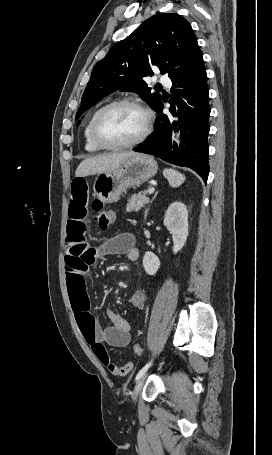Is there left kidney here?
Masks as SVG:
<instances>
[{
	"label": "left kidney",
	"instance_id": "5707ae66",
	"mask_svg": "<svg viewBox=\"0 0 272 455\" xmlns=\"http://www.w3.org/2000/svg\"><path fill=\"white\" fill-rule=\"evenodd\" d=\"M164 225L172 234L173 252L176 254L183 248L188 237L187 207L181 202H173L165 213ZM143 267L147 274H156L160 267L159 258L152 252H146Z\"/></svg>",
	"mask_w": 272,
	"mask_h": 455
}]
</instances>
